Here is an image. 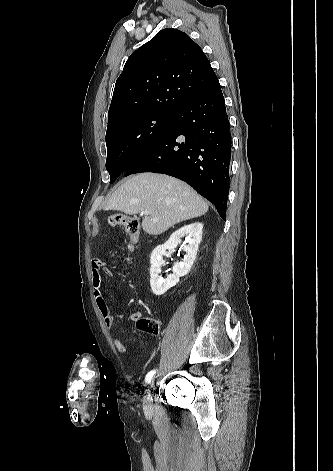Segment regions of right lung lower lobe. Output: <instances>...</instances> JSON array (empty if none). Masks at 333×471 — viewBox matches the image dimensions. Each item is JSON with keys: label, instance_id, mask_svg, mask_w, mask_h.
<instances>
[{"label": "right lung lower lobe", "instance_id": "1", "mask_svg": "<svg viewBox=\"0 0 333 471\" xmlns=\"http://www.w3.org/2000/svg\"><path fill=\"white\" fill-rule=\"evenodd\" d=\"M231 135L219 81L176 112L172 125L125 171L174 176L212 202L224 220L229 194Z\"/></svg>", "mask_w": 333, "mask_h": 471}]
</instances>
